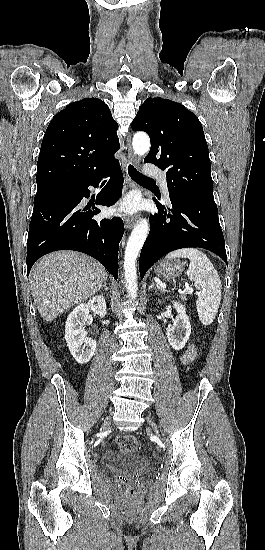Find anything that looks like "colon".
Returning <instances> with one entry per match:
<instances>
[{
    "label": "colon",
    "mask_w": 265,
    "mask_h": 550,
    "mask_svg": "<svg viewBox=\"0 0 265 550\" xmlns=\"http://www.w3.org/2000/svg\"><path fill=\"white\" fill-rule=\"evenodd\" d=\"M116 445L119 449L127 451H137L140 448L138 439L131 434L117 437ZM121 491L126 496H132L134 494V488L126 482L121 485Z\"/></svg>",
    "instance_id": "obj_1"
}]
</instances>
